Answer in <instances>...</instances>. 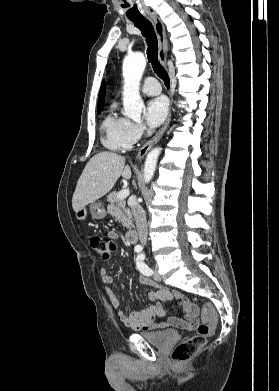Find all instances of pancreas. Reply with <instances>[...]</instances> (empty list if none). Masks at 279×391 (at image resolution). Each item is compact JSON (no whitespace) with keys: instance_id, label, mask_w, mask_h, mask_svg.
Masks as SVG:
<instances>
[{"instance_id":"1","label":"pancreas","mask_w":279,"mask_h":391,"mask_svg":"<svg viewBox=\"0 0 279 391\" xmlns=\"http://www.w3.org/2000/svg\"><path fill=\"white\" fill-rule=\"evenodd\" d=\"M107 201L110 203L107 207L108 213L122 223L127 229L132 228L133 222L131 220L132 215L128 208H126V202L124 199H118L116 192H111L108 195Z\"/></svg>"}]
</instances>
